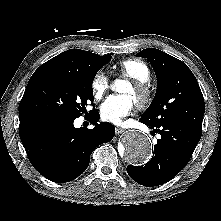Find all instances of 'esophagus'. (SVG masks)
Wrapping results in <instances>:
<instances>
[{
    "label": "esophagus",
    "instance_id": "1",
    "mask_svg": "<svg viewBox=\"0 0 221 221\" xmlns=\"http://www.w3.org/2000/svg\"><path fill=\"white\" fill-rule=\"evenodd\" d=\"M124 131H125L124 129L119 128V127H117V128L115 129V132H116L117 135H120V134L124 133Z\"/></svg>",
    "mask_w": 221,
    "mask_h": 221
}]
</instances>
